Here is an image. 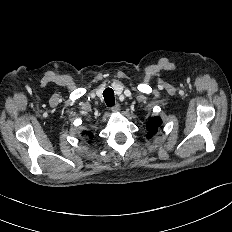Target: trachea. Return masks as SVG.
<instances>
[{
    "mask_svg": "<svg viewBox=\"0 0 232 232\" xmlns=\"http://www.w3.org/2000/svg\"><path fill=\"white\" fill-rule=\"evenodd\" d=\"M104 100L108 107H113L115 105L114 91L111 88H106L103 92Z\"/></svg>",
    "mask_w": 232,
    "mask_h": 232,
    "instance_id": "1",
    "label": "trachea"
}]
</instances>
